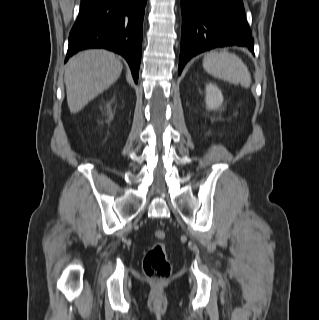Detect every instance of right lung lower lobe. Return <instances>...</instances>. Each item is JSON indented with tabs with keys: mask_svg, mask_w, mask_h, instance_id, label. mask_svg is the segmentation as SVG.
<instances>
[{
	"mask_svg": "<svg viewBox=\"0 0 319 320\" xmlns=\"http://www.w3.org/2000/svg\"><path fill=\"white\" fill-rule=\"evenodd\" d=\"M146 3L147 0H81L65 62L81 49L106 48L127 60L137 82Z\"/></svg>",
	"mask_w": 319,
	"mask_h": 320,
	"instance_id": "obj_1",
	"label": "right lung lower lobe"
}]
</instances>
